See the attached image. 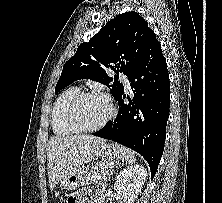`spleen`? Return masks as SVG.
I'll return each instance as SVG.
<instances>
[{
  "mask_svg": "<svg viewBox=\"0 0 222 203\" xmlns=\"http://www.w3.org/2000/svg\"><path fill=\"white\" fill-rule=\"evenodd\" d=\"M125 159H126V162L129 163V164L135 162V160H136L135 153L130 149H126Z\"/></svg>",
  "mask_w": 222,
  "mask_h": 203,
  "instance_id": "3e777b00",
  "label": "spleen"
}]
</instances>
